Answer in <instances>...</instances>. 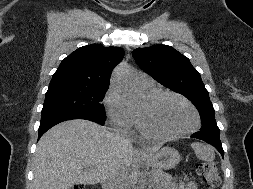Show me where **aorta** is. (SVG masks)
I'll use <instances>...</instances> for the list:
<instances>
[{
  "label": "aorta",
  "instance_id": "obj_1",
  "mask_svg": "<svg viewBox=\"0 0 253 189\" xmlns=\"http://www.w3.org/2000/svg\"><path fill=\"white\" fill-rule=\"evenodd\" d=\"M112 84L127 107H136L141 103L142 97L133 84L128 67L119 66L114 71ZM135 189L142 188L137 186Z\"/></svg>",
  "mask_w": 253,
  "mask_h": 189
}]
</instances>
